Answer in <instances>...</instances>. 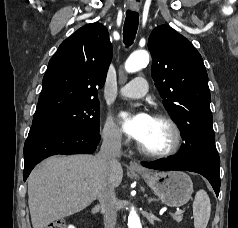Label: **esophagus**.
I'll return each instance as SVG.
<instances>
[{
    "label": "esophagus",
    "instance_id": "esophagus-1",
    "mask_svg": "<svg viewBox=\"0 0 238 228\" xmlns=\"http://www.w3.org/2000/svg\"><path fill=\"white\" fill-rule=\"evenodd\" d=\"M129 167L135 170H142L141 166L135 161H131Z\"/></svg>",
    "mask_w": 238,
    "mask_h": 228
}]
</instances>
